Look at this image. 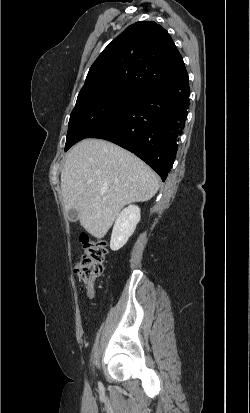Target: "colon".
<instances>
[{"instance_id":"colon-1","label":"colon","mask_w":250,"mask_h":413,"mask_svg":"<svg viewBox=\"0 0 250 413\" xmlns=\"http://www.w3.org/2000/svg\"><path fill=\"white\" fill-rule=\"evenodd\" d=\"M83 255L75 266V275L87 286L91 292L92 283L103 272V263L107 253L103 240L92 239L87 235L81 237Z\"/></svg>"}]
</instances>
